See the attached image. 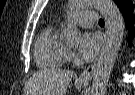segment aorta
<instances>
[{"mask_svg":"<svg viewBox=\"0 0 135 95\" xmlns=\"http://www.w3.org/2000/svg\"><path fill=\"white\" fill-rule=\"evenodd\" d=\"M87 6L99 9L106 21V39L94 70L91 88V95H105L109 76L123 40L124 21L113 0H71L70 2L71 11ZM62 36L69 42H77L81 35L76 25L68 24Z\"/></svg>","mask_w":135,"mask_h":95,"instance_id":"762f6f07","label":"aorta"}]
</instances>
